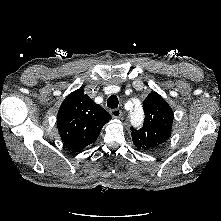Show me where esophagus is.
<instances>
[{
  "label": "esophagus",
  "mask_w": 221,
  "mask_h": 221,
  "mask_svg": "<svg viewBox=\"0 0 221 221\" xmlns=\"http://www.w3.org/2000/svg\"><path fill=\"white\" fill-rule=\"evenodd\" d=\"M110 114L113 118H120L122 116V112L119 109L110 110Z\"/></svg>",
  "instance_id": "obj_1"
}]
</instances>
